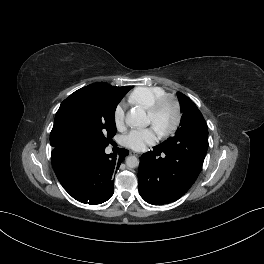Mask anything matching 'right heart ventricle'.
Listing matches in <instances>:
<instances>
[{
    "label": "right heart ventricle",
    "mask_w": 264,
    "mask_h": 264,
    "mask_svg": "<svg viewBox=\"0 0 264 264\" xmlns=\"http://www.w3.org/2000/svg\"><path fill=\"white\" fill-rule=\"evenodd\" d=\"M166 95V91L159 86H142L135 88L128 95V102L148 109L157 99Z\"/></svg>",
    "instance_id": "right-heart-ventricle-1"
}]
</instances>
